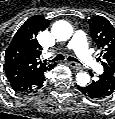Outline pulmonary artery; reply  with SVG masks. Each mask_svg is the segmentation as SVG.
I'll return each mask as SVG.
<instances>
[{
    "mask_svg": "<svg viewBox=\"0 0 115 119\" xmlns=\"http://www.w3.org/2000/svg\"><path fill=\"white\" fill-rule=\"evenodd\" d=\"M67 48L74 50L76 56L87 67L96 71L101 69L100 64L96 61L92 53L89 51L86 34L78 30L74 33L72 38L67 44Z\"/></svg>",
    "mask_w": 115,
    "mask_h": 119,
    "instance_id": "obj_1",
    "label": "pulmonary artery"
}]
</instances>
